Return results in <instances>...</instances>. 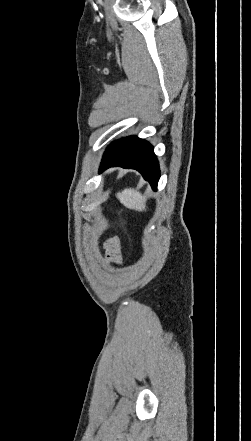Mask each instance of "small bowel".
<instances>
[{
  "label": "small bowel",
  "instance_id": "small-bowel-1",
  "mask_svg": "<svg viewBox=\"0 0 251 441\" xmlns=\"http://www.w3.org/2000/svg\"><path fill=\"white\" fill-rule=\"evenodd\" d=\"M118 245H119V241L117 238H113L109 242V248H110L109 255L112 256L116 262H119L121 259L120 254L118 252Z\"/></svg>",
  "mask_w": 251,
  "mask_h": 441
}]
</instances>
